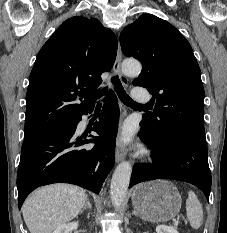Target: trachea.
<instances>
[{
    "label": "trachea",
    "mask_w": 227,
    "mask_h": 233,
    "mask_svg": "<svg viewBox=\"0 0 227 233\" xmlns=\"http://www.w3.org/2000/svg\"><path fill=\"white\" fill-rule=\"evenodd\" d=\"M112 83L114 85V90L116 91L119 99L127 106H142L144 107L145 105L139 104L137 102H135L134 100H132L130 98V96L126 93V91L124 90L118 76H114L112 77Z\"/></svg>",
    "instance_id": "1"
}]
</instances>
